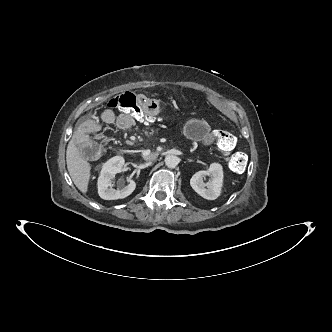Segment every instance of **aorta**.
Wrapping results in <instances>:
<instances>
[{
    "mask_svg": "<svg viewBox=\"0 0 332 332\" xmlns=\"http://www.w3.org/2000/svg\"><path fill=\"white\" fill-rule=\"evenodd\" d=\"M179 163V159L177 156L174 155H168L165 157V165L168 168H175Z\"/></svg>",
    "mask_w": 332,
    "mask_h": 332,
    "instance_id": "1",
    "label": "aorta"
}]
</instances>
